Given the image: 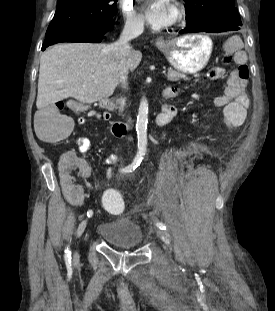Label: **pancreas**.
I'll return each instance as SVG.
<instances>
[{
	"label": "pancreas",
	"instance_id": "obj_1",
	"mask_svg": "<svg viewBox=\"0 0 275 311\" xmlns=\"http://www.w3.org/2000/svg\"><path fill=\"white\" fill-rule=\"evenodd\" d=\"M185 76L179 72H176L174 70H169L168 74H167V78L169 81H179L181 79H183ZM125 99L123 98H119L116 100V107L119 109L120 112H123L124 107H125Z\"/></svg>",
	"mask_w": 275,
	"mask_h": 311
}]
</instances>
